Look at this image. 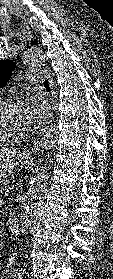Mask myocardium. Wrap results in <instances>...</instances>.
Returning <instances> with one entry per match:
<instances>
[{
  "label": "myocardium",
  "mask_w": 113,
  "mask_h": 279,
  "mask_svg": "<svg viewBox=\"0 0 113 279\" xmlns=\"http://www.w3.org/2000/svg\"><path fill=\"white\" fill-rule=\"evenodd\" d=\"M20 107V103L17 100L13 99H0V110L3 108H17ZM27 134L19 136H7L1 133L0 131V143H16L23 140Z\"/></svg>",
  "instance_id": "obj_1"
}]
</instances>
